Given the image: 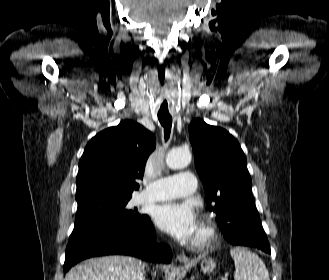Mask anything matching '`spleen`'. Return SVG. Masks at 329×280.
Returning <instances> with one entry per match:
<instances>
[{
  "label": "spleen",
  "instance_id": "spleen-1",
  "mask_svg": "<svg viewBox=\"0 0 329 280\" xmlns=\"http://www.w3.org/2000/svg\"><path fill=\"white\" fill-rule=\"evenodd\" d=\"M235 265V280H270L261 258L242 247L230 250Z\"/></svg>",
  "mask_w": 329,
  "mask_h": 280
}]
</instances>
